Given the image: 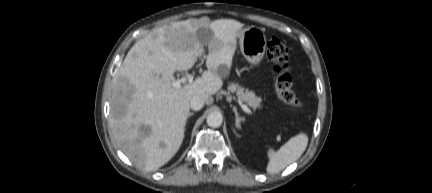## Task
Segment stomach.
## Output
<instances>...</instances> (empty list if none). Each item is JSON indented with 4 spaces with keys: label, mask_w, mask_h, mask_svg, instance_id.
<instances>
[{
    "label": "stomach",
    "mask_w": 432,
    "mask_h": 193,
    "mask_svg": "<svg viewBox=\"0 0 432 193\" xmlns=\"http://www.w3.org/2000/svg\"><path fill=\"white\" fill-rule=\"evenodd\" d=\"M237 40L245 59L253 65H258L267 46V39L263 30L255 26H248L239 30Z\"/></svg>",
    "instance_id": "stomach-1"
}]
</instances>
